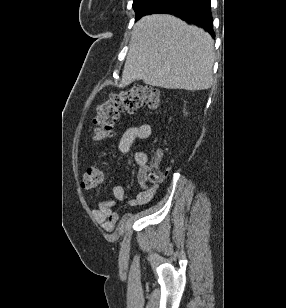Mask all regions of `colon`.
Returning <instances> with one entry per match:
<instances>
[{"mask_svg":"<svg viewBox=\"0 0 286 308\" xmlns=\"http://www.w3.org/2000/svg\"><path fill=\"white\" fill-rule=\"evenodd\" d=\"M161 102L160 94L150 86H134L126 91L111 94L109 99L97 106L94 139L104 142L113 137L114 126L121 112L134 113L141 107L157 110ZM147 177L152 181L161 178L157 164H149L146 168ZM103 170L100 166L89 167L83 174L81 186L90 190L103 181Z\"/></svg>","mask_w":286,"mask_h":308,"instance_id":"5ec220e1","label":"colon"}]
</instances>
